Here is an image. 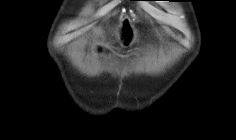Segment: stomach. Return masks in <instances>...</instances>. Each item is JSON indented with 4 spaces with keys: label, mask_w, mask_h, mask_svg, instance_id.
I'll return each instance as SVG.
<instances>
[{
    "label": "stomach",
    "mask_w": 236,
    "mask_h": 140,
    "mask_svg": "<svg viewBox=\"0 0 236 140\" xmlns=\"http://www.w3.org/2000/svg\"><path fill=\"white\" fill-rule=\"evenodd\" d=\"M115 26H118V23H115ZM102 27H114V22H102ZM95 29H100V26H95ZM120 34L124 45H129L136 39V29L129 21V19H126L123 22Z\"/></svg>",
    "instance_id": "obj_1"
}]
</instances>
